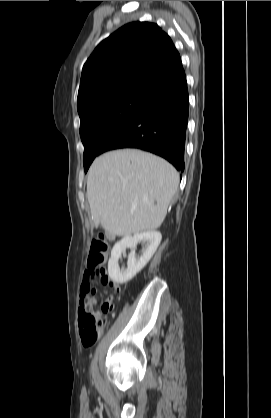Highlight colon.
I'll use <instances>...</instances> for the list:
<instances>
[{"mask_svg":"<svg viewBox=\"0 0 271 418\" xmlns=\"http://www.w3.org/2000/svg\"><path fill=\"white\" fill-rule=\"evenodd\" d=\"M108 243L106 239L99 235L96 236L90 246L87 266V278L91 285L94 280H100L102 283L109 279L106 275L103 264L107 257ZM94 290L87 288L83 294L82 300L88 303L93 299ZM114 308L113 300L109 298L101 307L100 311H93L91 308L83 307L79 312V326L82 344L85 347H91L99 337L101 329L106 324V315Z\"/></svg>","mask_w":271,"mask_h":418,"instance_id":"colon-1","label":"colon"}]
</instances>
